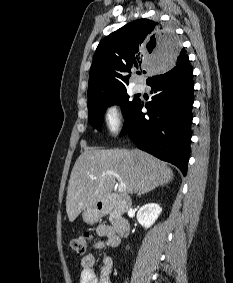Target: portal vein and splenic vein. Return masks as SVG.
I'll list each match as a JSON object with an SVG mask.
<instances>
[{
	"instance_id": "18ae733b",
	"label": "portal vein and splenic vein",
	"mask_w": 233,
	"mask_h": 283,
	"mask_svg": "<svg viewBox=\"0 0 233 283\" xmlns=\"http://www.w3.org/2000/svg\"><path fill=\"white\" fill-rule=\"evenodd\" d=\"M109 175L116 177V178L120 181V183H119V185H118V191H119V192H124L125 189H126V186H125V184L121 181L120 176H119L116 172H113V171H107V172H104V173L102 174V176H109ZM90 178H91V179H96L95 176H91Z\"/></svg>"
}]
</instances>
